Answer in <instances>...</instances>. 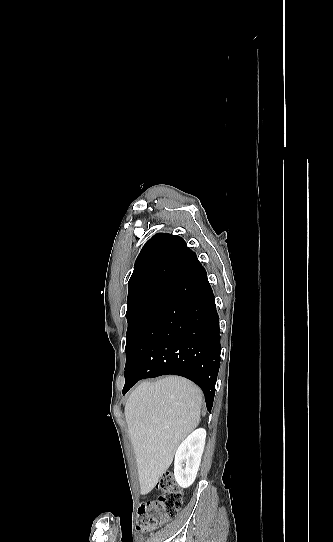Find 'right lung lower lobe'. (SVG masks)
<instances>
[{
	"mask_svg": "<svg viewBox=\"0 0 333 542\" xmlns=\"http://www.w3.org/2000/svg\"><path fill=\"white\" fill-rule=\"evenodd\" d=\"M165 261L189 273L156 305L125 367L123 395L139 380L174 374L201 387L213 406L220 367L219 316L205 269L195 253L174 249Z\"/></svg>",
	"mask_w": 333,
	"mask_h": 542,
	"instance_id": "1",
	"label": "right lung lower lobe"
}]
</instances>
